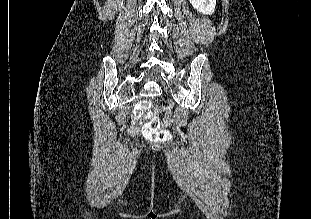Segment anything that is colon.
<instances>
[{"mask_svg":"<svg viewBox=\"0 0 311 219\" xmlns=\"http://www.w3.org/2000/svg\"><path fill=\"white\" fill-rule=\"evenodd\" d=\"M136 116L144 120L143 135L151 142H168L172 139L169 130L162 127L159 111L149 101H141L135 107Z\"/></svg>","mask_w":311,"mask_h":219,"instance_id":"obj_1","label":"colon"}]
</instances>
